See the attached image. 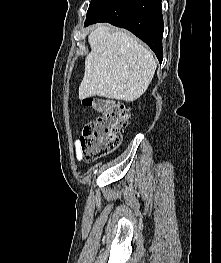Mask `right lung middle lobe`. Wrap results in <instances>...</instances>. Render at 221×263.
Returning a JSON list of instances; mask_svg holds the SVG:
<instances>
[{"label":"right lung middle lobe","instance_id":"right-lung-middle-lobe-1","mask_svg":"<svg viewBox=\"0 0 221 263\" xmlns=\"http://www.w3.org/2000/svg\"><path fill=\"white\" fill-rule=\"evenodd\" d=\"M110 0H91L86 19L95 16Z\"/></svg>","mask_w":221,"mask_h":263}]
</instances>
